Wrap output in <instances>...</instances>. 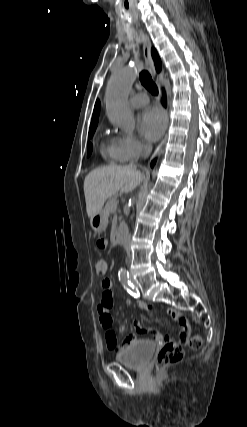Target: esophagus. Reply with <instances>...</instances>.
<instances>
[{"label":"esophagus","mask_w":247,"mask_h":427,"mask_svg":"<svg viewBox=\"0 0 247 427\" xmlns=\"http://www.w3.org/2000/svg\"><path fill=\"white\" fill-rule=\"evenodd\" d=\"M140 35H141V41H142V45H143V58H144V63H145L146 69L152 75V77L155 78L156 71H155L154 63H153L152 56H151L150 39L147 36V34H145L143 31L140 32ZM165 141H166V137L162 140L161 144L156 149V151L153 153L150 160H152L153 158H155L159 154V152H160L162 146L164 145Z\"/></svg>","instance_id":"esophagus-1"}]
</instances>
